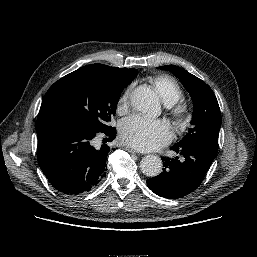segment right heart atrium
<instances>
[{"label": "right heart atrium", "mask_w": 257, "mask_h": 257, "mask_svg": "<svg viewBox=\"0 0 257 257\" xmlns=\"http://www.w3.org/2000/svg\"><path fill=\"white\" fill-rule=\"evenodd\" d=\"M130 93H131V87L126 89L123 94L121 95L119 101H118V106H117V111L119 114L124 115L128 113L129 108H130Z\"/></svg>", "instance_id": "obj_1"}]
</instances>
